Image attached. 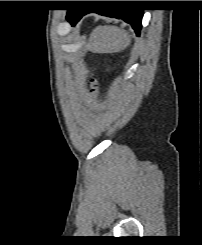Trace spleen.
I'll list each match as a JSON object with an SVG mask.
<instances>
[{
	"label": "spleen",
	"mask_w": 202,
	"mask_h": 245,
	"mask_svg": "<svg viewBox=\"0 0 202 245\" xmlns=\"http://www.w3.org/2000/svg\"><path fill=\"white\" fill-rule=\"evenodd\" d=\"M131 43L125 30L116 26H100L90 34L87 48L95 53H114L124 50Z\"/></svg>",
	"instance_id": "spleen-1"
}]
</instances>
